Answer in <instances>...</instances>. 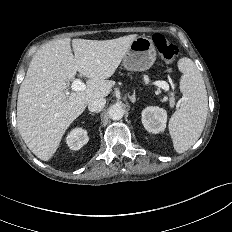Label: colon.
Segmentation results:
<instances>
[{
    "instance_id": "5ec220e1",
    "label": "colon",
    "mask_w": 232,
    "mask_h": 232,
    "mask_svg": "<svg viewBox=\"0 0 232 232\" xmlns=\"http://www.w3.org/2000/svg\"><path fill=\"white\" fill-rule=\"evenodd\" d=\"M152 40L158 50L161 58L171 64L175 61L178 55V48L175 44L168 41L162 34L156 33L152 36Z\"/></svg>"
}]
</instances>
